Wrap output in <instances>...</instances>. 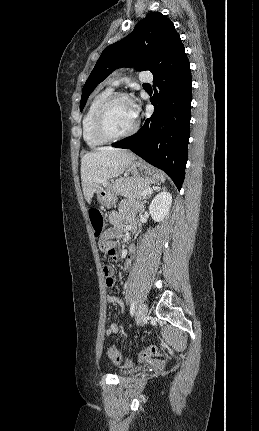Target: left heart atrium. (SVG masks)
Returning <instances> with one entry per match:
<instances>
[{"label":"left heart atrium","instance_id":"39dd6f15","mask_svg":"<svg viewBox=\"0 0 259 431\" xmlns=\"http://www.w3.org/2000/svg\"><path fill=\"white\" fill-rule=\"evenodd\" d=\"M129 105L132 109L134 116L137 117L138 113H139V107H138V103H137L136 99H133V98L129 99Z\"/></svg>","mask_w":259,"mask_h":431}]
</instances>
